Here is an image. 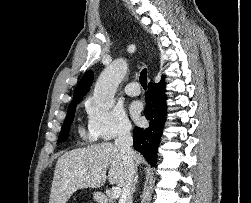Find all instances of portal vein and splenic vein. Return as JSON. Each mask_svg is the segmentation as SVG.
Instances as JSON below:
<instances>
[{
	"mask_svg": "<svg viewBox=\"0 0 251 203\" xmlns=\"http://www.w3.org/2000/svg\"><path fill=\"white\" fill-rule=\"evenodd\" d=\"M120 192H121V189L119 187H113L111 189V193L109 194V196L112 198V199H116L120 196Z\"/></svg>",
	"mask_w": 251,
	"mask_h": 203,
	"instance_id": "1",
	"label": "portal vein and splenic vein"
}]
</instances>
